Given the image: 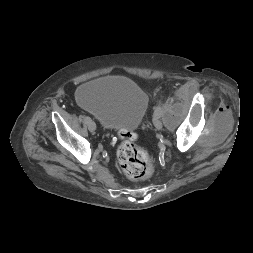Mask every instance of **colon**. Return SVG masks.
I'll return each mask as SVG.
<instances>
[{
    "label": "colon",
    "mask_w": 253,
    "mask_h": 253,
    "mask_svg": "<svg viewBox=\"0 0 253 253\" xmlns=\"http://www.w3.org/2000/svg\"><path fill=\"white\" fill-rule=\"evenodd\" d=\"M121 144L117 151L118 164L131 180L143 181L153 174L149 154L137 144L135 134L122 131L119 133Z\"/></svg>",
    "instance_id": "colon-1"
}]
</instances>
